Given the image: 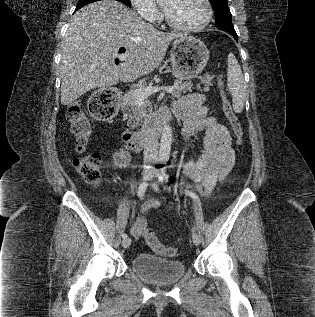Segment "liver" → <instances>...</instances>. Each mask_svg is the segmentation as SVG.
I'll use <instances>...</instances> for the list:
<instances>
[{
    "label": "liver",
    "mask_w": 315,
    "mask_h": 317,
    "mask_svg": "<svg viewBox=\"0 0 315 317\" xmlns=\"http://www.w3.org/2000/svg\"><path fill=\"white\" fill-rule=\"evenodd\" d=\"M184 33H165L144 22L115 0H101L77 11L61 43V104L69 105L92 89L111 87L120 80L147 76L163 61L173 39ZM120 47L126 56L119 65Z\"/></svg>",
    "instance_id": "6515ba94"
}]
</instances>
